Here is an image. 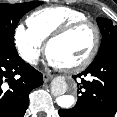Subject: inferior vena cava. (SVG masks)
<instances>
[{"label": "inferior vena cava", "mask_w": 117, "mask_h": 117, "mask_svg": "<svg viewBox=\"0 0 117 117\" xmlns=\"http://www.w3.org/2000/svg\"><path fill=\"white\" fill-rule=\"evenodd\" d=\"M31 63H32V64H37V61L34 60V61H32Z\"/></svg>", "instance_id": "obj_1"}]
</instances>
